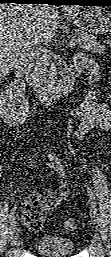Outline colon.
<instances>
[{"instance_id": "obj_1", "label": "colon", "mask_w": 111, "mask_h": 257, "mask_svg": "<svg viewBox=\"0 0 111 257\" xmlns=\"http://www.w3.org/2000/svg\"><path fill=\"white\" fill-rule=\"evenodd\" d=\"M65 227L68 230H74L76 228V223L73 219H69L65 222Z\"/></svg>"}]
</instances>
